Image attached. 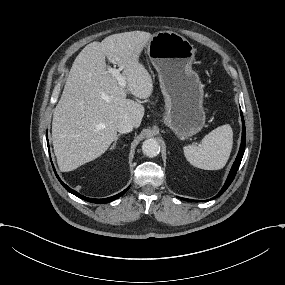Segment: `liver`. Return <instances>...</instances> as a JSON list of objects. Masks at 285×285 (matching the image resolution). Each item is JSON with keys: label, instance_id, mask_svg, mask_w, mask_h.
I'll return each instance as SVG.
<instances>
[{"label": "liver", "instance_id": "liver-1", "mask_svg": "<svg viewBox=\"0 0 285 285\" xmlns=\"http://www.w3.org/2000/svg\"><path fill=\"white\" fill-rule=\"evenodd\" d=\"M153 35L132 31L88 44L77 56L53 113L54 152L62 172H69L103 155L115 141L117 124L138 128L144 107L140 100L154 92L153 78L141 55ZM106 61L123 67L127 85L120 86Z\"/></svg>", "mask_w": 285, "mask_h": 285}]
</instances>
